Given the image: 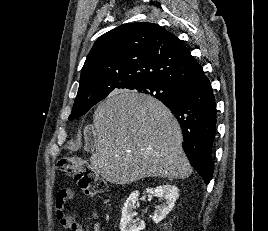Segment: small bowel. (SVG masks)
Returning <instances> with one entry per match:
<instances>
[{"instance_id":"c3829d8e","label":"small bowel","mask_w":268,"mask_h":231,"mask_svg":"<svg viewBox=\"0 0 268 231\" xmlns=\"http://www.w3.org/2000/svg\"><path fill=\"white\" fill-rule=\"evenodd\" d=\"M67 191L68 195L63 196L61 193ZM73 198V192L70 189L60 191L56 197V219L59 225L68 231H83L81 225L77 222L74 216L68 214L65 209V204ZM95 218H98V213H93ZM95 231H101L99 223L95 224Z\"/></svg>"}]
</instances>
